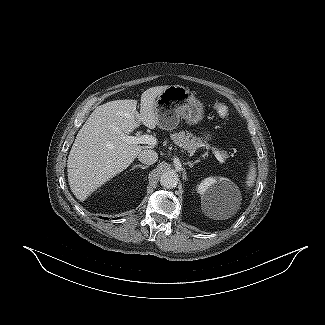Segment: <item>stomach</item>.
Listing matches in <instances>:
<instances>
[{"label": "stomach", "mask_w": 325, "mask_h": 325, "mask_svg": "<svg viewBox=\"0 0 325 325\" xmlns=\"http://www.w3.org/2000/svg\"><path fill=\"white\" fill-rule=\"evenodd\" d=\"M157 126L163 130L175 129L180 118L190 124H197L204 118V106L193 92L180 85H170L158 95L154 103ZM204 140H212V135L204 134Z\"/></svg>", "instance_id": "stomach-1"}]
</instances>
